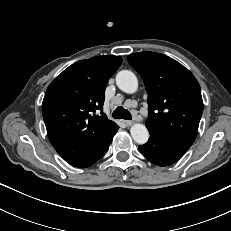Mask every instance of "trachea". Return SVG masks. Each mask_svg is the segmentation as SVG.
<instances>
[{"instance_id":"1","label":"trachea","mask_w":231,"mask_h":231,"mask_svg":"<svg viewBox=\"0 0 231 231\" xmlns=\"http://www.w3.org/2000/svg\"><path fill=\"white\" fill-rule=\"evenodd\" d=\"M112 117L115 119H125V120H131L132 119L130 112L127 109H124L122 106L117 107L113 111Z\"/></svg>"}]
</instances>
